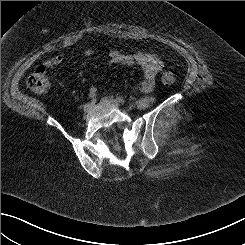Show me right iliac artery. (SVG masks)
Wrapping results in <instances>:
<instances>
[{
    "label": "right iliac artery",
    "mask_w": 245,
    "mask_h": 245,
    "mask_svg": "<svg viewBox=\"0 0 245 245\" xmlns=\"http://www.w3.org/2000/svg\"><path fill=\"white\" fill-rule=\"evenodd\" d=\"M96 101H97L96 97H92L91 104H92V105L95 104Z\"/></svg>",
    "instance_id": "right-iliac-artery-1"
}]
</instances>
